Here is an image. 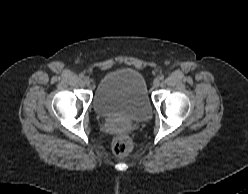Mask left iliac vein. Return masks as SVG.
<instances>
[{
    "label": "left iliac vein",
    "instance_id": "1",
    "mask_svg": "<svg viewBox=\"0 0 248 194\" xmlns=\"http://www.w3.org/2000/svg\"><path fill=\"white\" fill-rule=\"evenodd\" d=\"M160 85V80L158 78L154 79L153 86L158 87Z\"/></svg>",
    "mask_w": 248,
    "mask_h": 194
}]
</instances>
